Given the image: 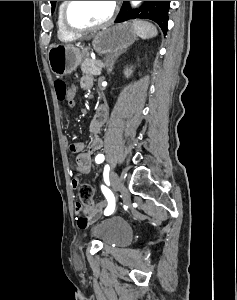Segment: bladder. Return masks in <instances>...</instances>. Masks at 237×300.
<instances>
[{
  "mask_svg": "<svg viewBox=\"0 0 237 300\" xmlns=\"http://www.w3.org/2000/svg\"><path fill=\"white\" fill-rule=\"evenodd\" d=\"M91 234L104 246H121L130 241L132 231L125 220L114 217L95 223L91 227Z\"/></svg>",
  "mask_w": 237,
  "mask_h": 300,
  "instance_id": "31cf9c89",
  "label": "bladder"
}]
</instances>
